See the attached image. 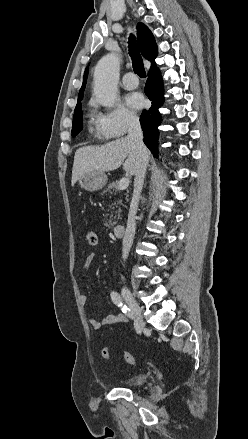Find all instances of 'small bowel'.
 I'll use <instances>...</instances> for the list:
<instances>
[{
    "mask_svg": "<svg viewBox=\"0 0 248 439\" xmlns=\"http://www.w3.org/2000/svg\"><path fill=\"white\" fill-rule=\"evenodd\" d=\"M96 258V254L95 253H91L89 254L84 262L83 265V270L85 272H87L90 267L92 266L94 260ZM81 300L82 302H86L87 301V296L85 294L81 295ZM127 320L126 316L122 313H113V314H109L107 316H105L103 319L101 320H97V319H91L90 320V325L92 328L98 330L100 328H102L103 326H109V325H114V324H119V323H123Z\"/></svg>",
    "mask_w": 248,
    "mask_h": 439,
    "instance_id": "c3829d8e",
    "label": "small bowel"
}]
</instances>
